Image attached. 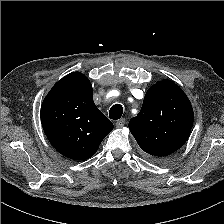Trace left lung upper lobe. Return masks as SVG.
<instances>
[{"label": "left lung upper lobe", "mask_w": 224, "mask_h": 224, "mask_svg": "<svg viewBox=\"0 0 224 224\" xmlns=\"http://www.w3.org/2000/svg\"><path fill=\"white\" fill-rule=\"evenodd\" d=\"M194 114L183 90L165 79L151 86L139 114L129 122L138 145L155 157L170 155L189 138Z\"/></svg>", "instance_id": "left-lung-upper-lobe-1"}]
</instances>
